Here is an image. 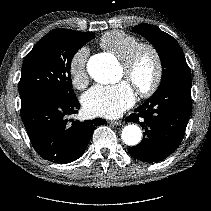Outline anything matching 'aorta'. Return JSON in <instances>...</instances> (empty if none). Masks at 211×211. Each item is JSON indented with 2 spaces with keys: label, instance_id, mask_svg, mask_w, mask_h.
<instances>
[{
  "label": "aorta",
  "instance_id": "aorta-1",
  "mask_svg": "<svg viewBox=\"0 0 211 211\" xmlns=\"http://www.w3.org/2000/svg\"><path fill=\"white\" fill-rule=\"evenodd\" d=\"M90 76L98 83L107 84L117 81L114 65L104 58L95 56L87 65ZM122 140L129 146L137 145L142 138L141 129L137 125H127L122 130Z\"/></svg>",
  "mask_w": 211,
  "mask_h": 211
}]
</instances>
